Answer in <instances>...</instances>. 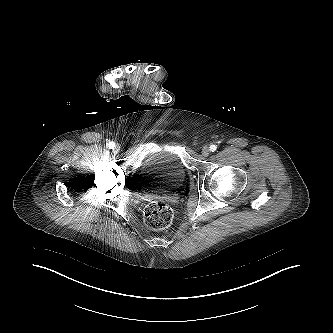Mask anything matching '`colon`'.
I'll return each instance as SVG.
<instances>
[{
  "mask_svg": "<svg viewBox=\"0 0 333 333\" xmlns=\"http://www.w3.org/2000/svg\"><path fill=\"white\" fill-rule=\"evenodd\" d=\"M145 224L154 230H163L170 226L173 220V210L162 202H152L144 209Z\"/></svg>",
  "mask_w": 333,
  "mask_h": 333,
  "instance_id": "5ec220e1",
  "label": "colon"
}]
</instances>
